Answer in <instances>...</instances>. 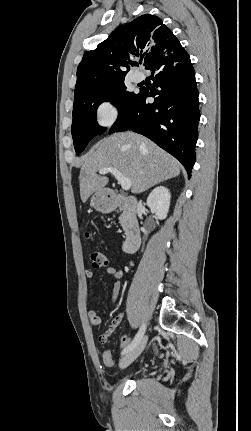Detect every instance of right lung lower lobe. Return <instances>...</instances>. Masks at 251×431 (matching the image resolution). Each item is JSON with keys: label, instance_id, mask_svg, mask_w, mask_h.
I'll return each instance as SVG.
<instances>
[{"label": "right lung lower lobe", "instance_id": "98d812e1", "mask_svg": "<svg viewBox=\"0 0 251 431\" xmlns=\"http://www.w3.org/2000/svg\"><path fill=\"white\" fill-rule=\"evenodd\" d=\"M156 73L154 91L140 89L109 133L133 130L177 158L191 176L195 163L200 119L195 73L189 55L180 45L147 67ZM154 97L153 103H147Z\"/></svg>", "mask_w": 251, "mask_h": 431}]
</instances>
